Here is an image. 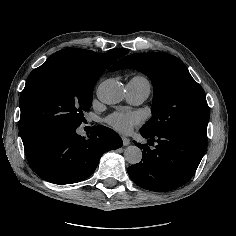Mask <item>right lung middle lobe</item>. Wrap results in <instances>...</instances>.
Instances as JSON below:
<instances>
[{
  "mask_svg": "<svg viewBox=\"0 0 236 236\" xmlns=\"http://www.w3.org/2000/svg\"><path fill=\"white\" fill-rule=\"evenodd\" d=\"M101 75L64 55L49 57L34 69L20 96L19 132L24 147L52 130L85 122L83 112L91 107Z\"/></svg>",
  "mask_w": 236,
  "mask_h": 236,
  "instance_id": "right-lung-middle-lobe-1",
  "label": "right lung middle lobe"
}]
</instances>
